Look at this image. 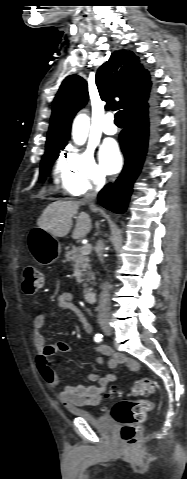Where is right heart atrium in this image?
Returning a JSON list of instances; mask_svg holds the SVG:
<instances>
[{
	"mask_svg": "<svg viewBox=\"0 0 187 479\" xmlns=\"http://www.w3.org/2000/svg\"><path fill=\"white\" fill-rule=\"evenodd\" d=\"M61 190L68 196H82L101 189L106 183V173L90 150L67 149L55 167Z\"/></svg>",
	"mask_w": 187,
	"mask_h": 479,
	"instance_id": "1",
	"label": "right heart atrium"
}]
</instances>
